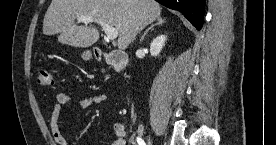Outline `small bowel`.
I'll return each mask as SVG.
<instances>
[{
    "label": "small bowel",
    "instance_id": "obj_1",
    "mask_svg": "<svg viewBox=\"0 0 276 145\" xmlns=\"http://www.w3.org/2000/svg\"><path fill=\"white\" fill-rule=\"evenodd\" d=\"M72 100L73 98L70 94L65 92L59 93L56 96V101L51 110L50 127H51L54 141L56 142L57 145H68L67 139L62 133L59 120L64 106L71 103ZM106 100H107L106 96L97 94V95H91V96L85 97L77 101L75 105L78 108L85 109L94 104H103L106 102ZM113 132L115 135V140L113 142V145L127 144V141L125 138L126 134H125L124 125L121 122H117L114 124Z\"/></svg>",
    "mask_w": 276,
    "mask_h": 145
}]
</instances>
